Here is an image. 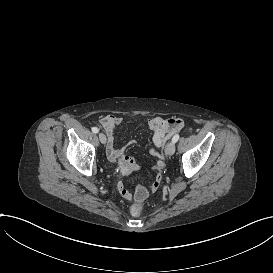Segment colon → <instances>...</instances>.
<instances>
[{
  "label": "colon",
  "instance_id": "colon-1",
  "mask_svg": "<svg viewBox=\"0 0 273 273\" xmlns=\"http://www.w3.org/2000/svg\"><path fill=\"white\" fill-rule=\"evenodd\" d=\"M148 192H149V189L146 187L145 184L140 183L137 185L136 192H135L136 195L133 200L134 205L130 207V210L133 216L138 217L141 215L142 210L140 206H142L143 203L146 201Z\"/></svg>",
  "mask_w": 273,
  "mask_h": 273
}]
</instances>
